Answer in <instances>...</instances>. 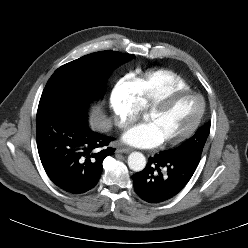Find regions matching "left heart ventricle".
Listing matches in <instances>:
<instances>
[{
  "instance_id": "obj_1",
  "label": "left heart ventricle",
  "mask_w": 248,
  "mask_h": 248,
  "mask_svg": "<svg viewBox=\"0 0 248 248\" xmlns=\"http://www.w3.org/2000/svg\"><path fill=\"white\" fill-rule=\"evenodd\" d=\"M200 110V101L195 96L181 97L163 110L149 113L145 121L155 128L161 141L178 137L195 121Z\"/></svg>"
}]
</instances>
